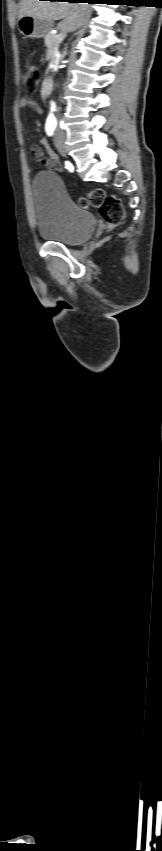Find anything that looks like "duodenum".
Returning <instances> with one entry per match:
<instances>
[{
    "label": "duodenum",
    "mask_w": 162,
    "mask_h": 851,
    "mask_svg": "<svg viewBox=\"0 0 162 851\" xmlns=\"http://www.w3.org/2000/svg\"><path fill=\"white\" fill-rule=\"evenodd\" d=\"M53 89V80L51 78H45L42 82V93L44 95H49Z\"/></svg>",
    "instance_id": "1"
}]
</instances>
